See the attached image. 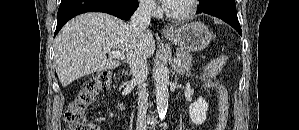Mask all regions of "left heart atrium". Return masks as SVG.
Masks as SVG:
<instances>
[{
	"label": "left heart atrium",
	"mask_w": 299,
	"mask_h": 130,
	"mask_svg": "<svg viewBox=\"0 0 299 130\" xmlns=\"http://www.w3.org/2000/svg\"><path fill=\"white\" fill-rule=\"evenodd\" d=\"M176 2H177L176 0H164V3H165L167 6L174 5Z\"/></svg>",
	"instance_id": "left-heart-atrium-1"
}]
</instances>
